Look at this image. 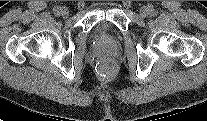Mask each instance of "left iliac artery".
Returning a JSON list of instances; mask_svg holds the SVG:
<instances>
[{"label": "left iliac artery", "instance_id": "obj_1", "mask_svg": "<svg viewBox=\"0 0 207 121\" xmlns=\"http://www.w3.org/2000/svg\"><path fill=\"white\" fill-rule=\"evenodd\" d=\"M149 12H150L151 15L155 14V11H154V9L152 7H150Z\"/></svg>", "mask_w": 207, "mask_h": 121}]
</instances>
